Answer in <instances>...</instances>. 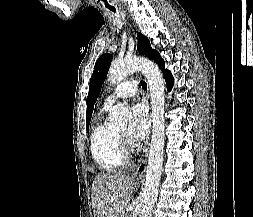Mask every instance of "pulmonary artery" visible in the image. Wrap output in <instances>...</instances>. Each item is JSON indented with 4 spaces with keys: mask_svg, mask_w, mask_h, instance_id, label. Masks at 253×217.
I'll return each instance as SVG.
<instances>
[{
    "mask_svg": "<svg viewBox=\"0 0 253 217\" xmlns=\"http://www.w3.org/2000/svg\"><path fill=\"white\" fill-rule=\"evenodd\" d=\"M137 93V82L127 80L119 84L105 99L104 107H111L118 99L127 98Z\"/></svg>",
    "mask_w": 253,
    "mask_h": 217,
    "instance_id": "1",
    "label": "pulmonary artery"
}]
</instances>
